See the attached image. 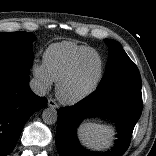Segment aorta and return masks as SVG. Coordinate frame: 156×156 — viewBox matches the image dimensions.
Segmentation results:
<instances>
[{
	"instance_id": "1",
	"label": "aorta",
	"mask_w": 156,
	"mask_h": 156,
	"mask_svg": "<svg viewBox=\"0 0 156 156\" xmlns=\"http://www.w3.org/2000/svg\"><path fill=\"white\" fill-rule=\"evenodd\" d=\"M58 114L54 108H46L42 113V119L44 123L48 125L55 124L57 122Z\"/></svg>"
}]
</instances>
